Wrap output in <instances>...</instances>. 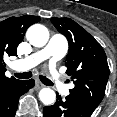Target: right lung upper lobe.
<instances>
[{
  "instance_id": "1",
  "label": "right lung upper lobe",
  "mask_w": 117,
  "mask_h": 117,
  "mask_svg": "<svg viewBox=\"0 0 117 117\" xmlns=\"http://www.w3.org/2000/svg\"><path fill=\"white\" fill-rule=\"evenodd\" d=\"M40 21L37 16L24 15L21 17H10L0 22V94L9 86L18 82L14 77L5 76L6 56H17V47L22 42L25 32L29 26Z\"/></svg>"
}]
</instances>
